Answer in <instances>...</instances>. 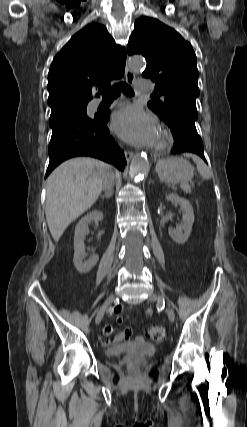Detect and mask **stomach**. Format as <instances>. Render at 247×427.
<instances>
[{"instance_id": "1", "label": "stomach", "mask_w": 247, "mask_h": 427, "mask_svg": "<svg viewBox=\"0 0 247 427\" xmlns=\"http://www.w3.org/2000/svg\"><path fill=\"white\" fill-rule=\"evenodd\" d=\"M156 170L161 181L172 184L187 183L194 174L191 164L182 157H174L162 161Z\"/></svg>"}]
</instances>
